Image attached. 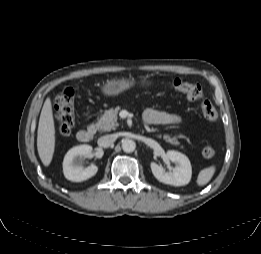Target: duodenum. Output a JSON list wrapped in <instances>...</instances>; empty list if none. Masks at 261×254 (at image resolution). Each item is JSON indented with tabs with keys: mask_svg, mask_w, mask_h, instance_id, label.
I'll return each instance as SVG.
<instances>
[{
	"mask_svg": "<svg viewBox=\"0 0 261 254\" xmlns=\"http://www.w3.org/2000/svg\"><path fill=\"white\" fill-rule=\"evenodd\" d=\"M94 135L95 129L93 127H88L78 133V140L83 143H88L93 139Z\"/></svg>",
	"mask_w": 261,
	"mask_h": 254,
	"instance_id": "410a0bca",
	"label": "duodenum"
}]
</instances>
